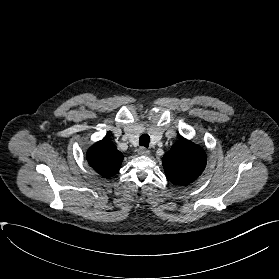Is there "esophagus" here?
<instances>
[{
    "mask_svg": "<svg viewBox=\"0 0 279 279\" xmlns=\"http://www.w3.org/2000/svg\"><path fill=\"white\" fill-rule=\"evenodd\" d=\"M138 154L139 155H142V156H148L150 154V151L144 147H140L138 150H137Z\"/></svg>",
    "mask_w": 279,
    "mask_h": 279,
    "instance_id": "1",
    "label": "esophagus"
}]
</instances>
